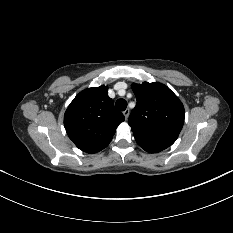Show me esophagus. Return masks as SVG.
Wrapping results in <instances>:
<instances>
[{
  "label": "esophagus",
  "instance_id": "1",
  "mask_svg": "<svg viewBox=\"0 0 233 233\" xmlns=\"http://www.w3.org/2000/svg\"><path fill=\"white\" fill-rule=\"evenodd\" d=\"M123 114H124V116H125V119L127 120L128 117H129V114H130V110H129V109L124 110V111H123Z\"/></svg>",
  "mask_w": 233,
  "mask_h": 233
}]
</instances>
